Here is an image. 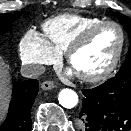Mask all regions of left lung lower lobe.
Here are the masks:
<instances>
[{"label":"left lung lower lobe","mask_w":131,"mask_h":131,"mask_svg":"<svg viewBox=\"0 0 131 131\" xmlns=\"http://www.w3.org/2000/svg\"><path fill=\"white\" fill-rule=\"evenodd\" d=\"M78 131H131V72L116 74L92 89L82 90Z\"/></svg>","instance_id":"obj_1"}]
</instances>
